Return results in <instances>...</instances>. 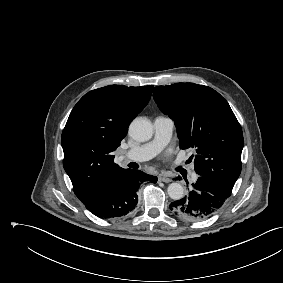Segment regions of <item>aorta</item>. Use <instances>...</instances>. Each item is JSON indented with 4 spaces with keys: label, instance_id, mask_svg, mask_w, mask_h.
<instances>
[{
    "label": "aorta",
    "instance_id": "762f6f07",
    "mask_svg": "<svg viewBox=\"0 0 283 283\" xmlns=\"http://www.w3.org/2000/svg\"><path fill=\"white\" fill-rule=\"evenodd\" d=\"M130 136L139 142H145L151 139L153 135V126L146 118H136L129 126ZM168 195L173 200H179L184 195V188L180 183H171L167 188Z\"/></svg>",
    "mask_w": 283,
    "mask_h": 283
}]
</instances>
